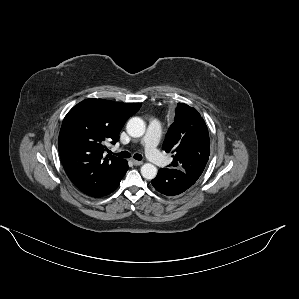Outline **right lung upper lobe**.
<instances>
[{"label":"right lung upper lobe","instance_id":"cb5924a9","mask_svg":"<svg viewBox=\"0 0 299 299\" xmlns=\"http://www.w3.org/2000/svg\"><path fill=\"white\" fill-rule=\"evenodd\" d=\"M140 103L86 99L65 116L59 133L60 158L70 180L83 193L99 197L116 179L126 160L103 153L115 143L127 119Z\"/></svg>","mask_w":299,"mask_h":299}]
</instances>
